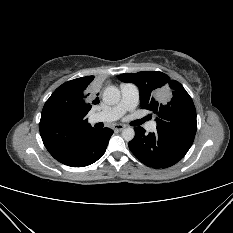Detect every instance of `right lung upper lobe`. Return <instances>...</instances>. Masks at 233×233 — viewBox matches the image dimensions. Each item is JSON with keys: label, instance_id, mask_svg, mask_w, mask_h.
<instances>
[{"label": "right lung upper lobe", "instance_id": "right-lung-upper-lobe-1", "mask_svg": "<svg viewBox=\"0 0 233 233\" xmlns=\"http://www.w3.org/2000/svg\"><path fill=\"white\" fill-rule=\"evenodd\" d=\"M93 80H94V76H86V77H81V78L68 81L62 84L60 87H58L59 90L64 91L68 96H70L72 99H74L81 105L83 112H84V117L87 115V113L91 109V104L88 103V101L93 99L92 104L99 103L98 97L94 99L92 95L90 96ZM84 117L82 118L78 126L74 129V131H79V130H83L88 127H91L87 123V120H84ZM44 135L46 134L41 133V136H44Z\"/></svg>", "mask_w": 233, "mask_h": 233}]
</instances>
